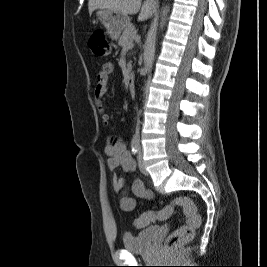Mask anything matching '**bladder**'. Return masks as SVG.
Returning <instances> with one entry per match:
<instances>
[{"instance_id": "obj_1", "label": "bladder", "mask_w": 267, "mask_h": 267, "mask_svg": "<svg viewBox=\"0 0 267 267\" xmlns=\"http://www.w3.org/2000/svg\"><path fill=\"white\" fill-rule=\"evenodd\" d=\"M161 228L158 225L147 227L138 233H125L123 248L129 252L142 253L150 249Z\"/></svg>"}]
</instances>
